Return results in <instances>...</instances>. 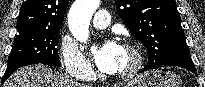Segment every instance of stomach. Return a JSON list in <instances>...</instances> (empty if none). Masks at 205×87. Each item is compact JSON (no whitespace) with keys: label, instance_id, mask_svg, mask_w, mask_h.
<instances>
[{"label":"stomach","instance_id":"1","mask_svg":"<svg viewBox=\"0 0 205 87\" xmlns=\"http://www.w3.org/2000/svg\"><path fill=\"white\" fill-rule=\"evenodd\" d=\"M126 87H181V81L176 74L158 69L140 74Z\"/></svg>","mask_w":205,"mask_h":87}]
</instances>
